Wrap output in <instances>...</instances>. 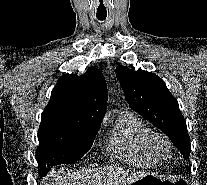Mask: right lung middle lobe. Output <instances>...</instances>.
Segmentation results:
<instances>
[{
    "mask_svg": "<svg viewBox=\"0 0 207 185\" xmlns=\"http://www.w3.org/2000/svg\"><path fill=\"white\" fill-rule=\"evenodd\" d=\"M99 127L85 126L63 120H42L38 131L39 147L36 159L39 174L49 171L46 166L73 163L92 147Z\"/></svg>",
    "mask_w": 207,
    "mask_h": 185,
    "instance_id": "obj_1",
    "label": "right lung middle lobe"
}]
</instances>
